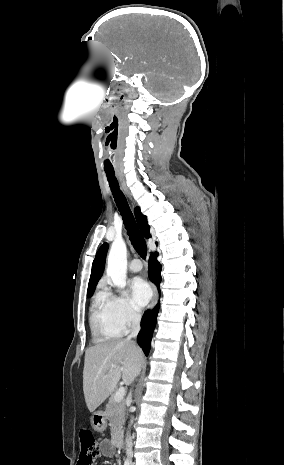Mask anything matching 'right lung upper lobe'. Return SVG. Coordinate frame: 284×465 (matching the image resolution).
<instances>
[{
  "label": "right lung upper lobe",
  "mask_w": 284,
  "mask_h": 465,
  "mask_svg": "<svg viewBox=\"0 0 284 465\" xmlns=\"http://www.w3.org/2000/svg\"><path fill=\"white\" fill-rule=\"evenodd\" d=\"M135 217H136L137 223L143 235L146 238H149L150 237V226L147 223L146 216L141 213L139 207H136L135 209ZM107 250H108V244L104 243L99 248L96 254V257L92 264V271H91V276L89 280L87 295L93 294L95 287L97 285V282L99 281V279L101 278L103 274Z\"/></svg>",
  "instance_id": "obj_1"
}]
</instances>
